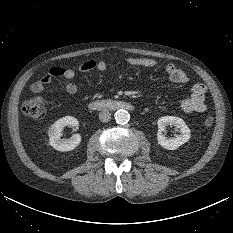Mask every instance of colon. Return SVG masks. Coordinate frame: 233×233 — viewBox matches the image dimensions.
Instances as JSON below:
<instances>
[{
	"instance_id": "1",
	"label": "colon",
	"mask_w": 233,
	"mask_h": 233,
	"mask_svg": "<svg viewBox=\"0 0 233 233\" xmlns=\"http://www.w3.org/2000/svg\"><path fill=\"white\" fill-rule=\"evenodd\" d=\"M22 114L30 118H40L44 115L45 112V103L42 97L34 96L22 104ZM214 122V118L211 115H207L204 118L205 126H211Z\"/></svg>"
}]
</instances>
